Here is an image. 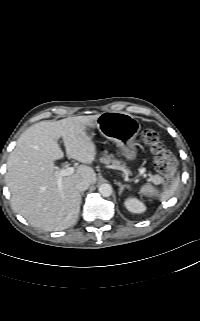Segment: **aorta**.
I'll return each instance as SVG.
<instances>
[{
	"label": "aorta",
	"mask_w": 200,
	"mask_h": 321,
	"mask_svg": "<svg viewBox=\"0 0 200 321\" xmlns=\"http://www.w3.org/2000/svg\"><path fill=\"white\" fill-rule=\"evenodd\" d=\"M98 191L103 197H109L112 194V187L110 184L105 183L100 185Z\"/></svg>",
	"instance_id": "1"
}]
</instances>
